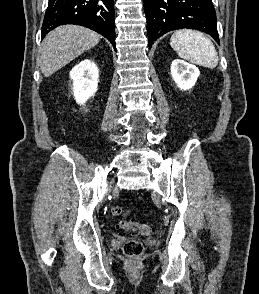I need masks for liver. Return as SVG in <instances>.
I'll return each instance as SVG.
<instances>
[{
  "label": "liver",
  "mask_w": 259,
  "mask_h": 294,
  "mask_svg": "<svg viewBox=\"0 0 259 294\" xmlns=\"http://www.w3.org/2000/svg\"><path fill=\"white\" fill-rule=\"evenodd\" d=\"M101 36L85 27L63 25L51 31L44 39L40 54V69L49 77L70 61L96 46Z\"/></svg>",
  "instance_id": "liver-1"
}]
</instances>
